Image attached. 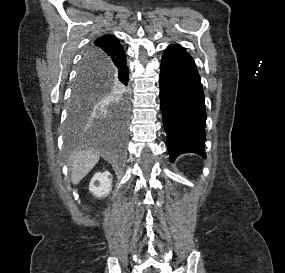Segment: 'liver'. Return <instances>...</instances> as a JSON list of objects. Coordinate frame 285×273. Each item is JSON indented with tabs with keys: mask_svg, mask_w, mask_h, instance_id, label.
Segmentation results:
<instances>
[{
	"mask_svg": "<svg viewBox=\"0 0 285 273\" xmlns=\"http://www.w3.org/2000/svg\"><path fill=\"white\" fill-rule=\"evenodd\" d=\"M100 153L94 149L75 152L70 157L71 181L78 184L97 164Z\"/></svg>",
	"mask_w": 285,
	"mask_h": 273,
	"instance_id": "obj_1",
	"label": "liver"
}]
</instances>
